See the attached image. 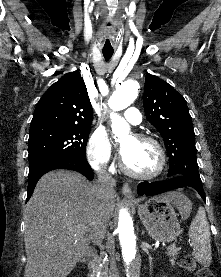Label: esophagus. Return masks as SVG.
Returning <instances> with one entry per match:
<instances>
[{
    "label": "esophagus",
    "mask_w": 221,
    "mask_h": 277,
    "mask_svg": "<svg viewBox=\"0 0 221 277\" xmlns=\"http://www.w3.org/2000/svg\"><path fill=\"white\" fill-rule=\"evenodd\" d=\"M122 193L127 196L128 198H133L134 195H133V192L129 186L128 183H124L123 186H122Z\"/></svg>",
    "instance_id": "34e87169"
}]
</instances>
